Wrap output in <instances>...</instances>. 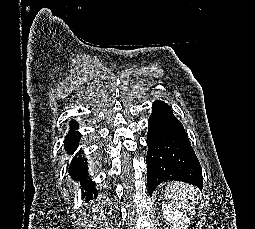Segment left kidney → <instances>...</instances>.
Masks as SVG:
<instances>
[{"label":"left kidney","instance_id":"1","mask_svg":"<svg viewBox=\"0 0 255 229\" xmlns=\"http://www.w3.org/2000/svg\"><path fill=\"white\" fill-rule=\"evenodd\" d=\"M162 212L168 224L173 225L174 229H187L190 225L189 218L170 204H162Z\"/></svg>","mask_w":255,"mask_h":229}]
</instances>
